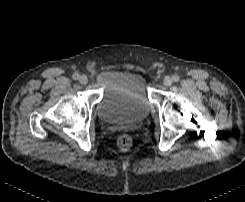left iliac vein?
Segmentation results:
<instances>
[{"instance_id":"obj_1","label":"left iliac vein","mask_w":245,"mask_h":202,"mask_svg":"<svg viewBox=\"0 0 245 202\" xmlns=\"http://www.w3.org/2000/svg\"><path fill=\"white\" fill-rule=\"evenodd\" d=\"M172 83H173V80H172V78L170 76H166L164 78V85L165 86H170Z\"/></svg>"}]
</instances>
